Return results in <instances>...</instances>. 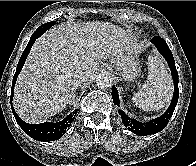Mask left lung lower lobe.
<instances>
[{
    "label": "left lung lower lobe",
    "instance_id": "1",
    "mask_svg": "<svg viewBox=\"0 0 196 166\" xmlns=\"http://www.w3.org/2000/svg\"><path fill=\"white\" fill-rule=\"evenodd\" d=\"M151 42L156 46L158 51L163 55V57L166 59L170 67L172 78L174 81V95L172 98V102L169 108L166 110V112L162 116L150 120L149 122L146 123H141L135 119H131L122 110L120 109L118 110V113L121 116L122 123L124 124V126L131 132L140 136L155 134L166 127V125L169 122V119L173 115L179 96L178 72L176 70L175 61L172 52L170 51L165 40L159 36H155L154 38H152ZM112 98H113V103L119 106L120 100L118 96V91L115 88V86L112 87Z\"/></svg>",
    "mask_w": 196,
    "mask_h": 166
}]
</instances>
